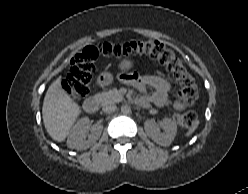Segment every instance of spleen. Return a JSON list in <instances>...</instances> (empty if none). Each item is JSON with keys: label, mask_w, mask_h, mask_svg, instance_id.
<instances>
[{"label": "spleen", "mask_w": 248, "mask_h": 194, "mask_svg": "<svg viewBox=\"0 0 248 194\" xmlns=\"http://www.w3.org/2000/svg\"><path fill=\"white\" fill-rule=\"evenodd\" d=\"M197 126H198V122H196L193 128L190 129V131L187 133V136H190L194 132V130L197 128Z\"/></svg>", "instance_id": "obj_1"}]
</instances>
